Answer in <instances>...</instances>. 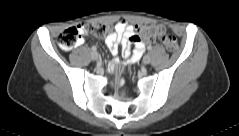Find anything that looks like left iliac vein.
Instances as JSON below:
<instances>
[{
    "label": "left iliac vein",
    "mask_w": 239,
    "mask_h": 136,
    "mask_svg": "<svg viewBox=\"0 0 239 136\" xmlns=\"http://www.w3.org/2000/svg\"><path fill=\"white\" fill-rule=\"evenodd\" d=\"M150 57L148 56V55H145L144 57H143V63L144 64H149L150 63Z\"/></svg>",
    "instance_id": "obj_1"
}]
</instances>
